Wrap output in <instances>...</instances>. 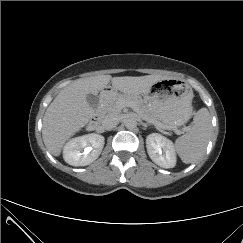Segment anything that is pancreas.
Returning <instances> with one entry per match:
<instances>
[{
    "label": "pancreas",
    "instance_id": "obj_1",
    "mask_svg": "<svg viewBox=\"0 0 243 243\" xmlns=\"http://www.w3.org/2000/svg\"><path fill=\"white\" fill-rule=\"evenodd\" d=\"M125 105L131 106L144 119H151L163 125L155 116H153L148 111L144 102L139 97H131L128 95H114L111 99L105 102V104L101 108V111L104 114H119L122 111V107Z\"/></svg>",
    "mask_w": 243,
    "mask_h": 243
}]
</instances>
